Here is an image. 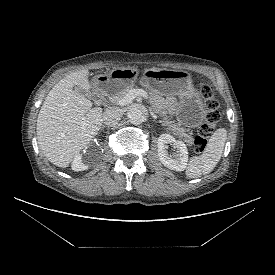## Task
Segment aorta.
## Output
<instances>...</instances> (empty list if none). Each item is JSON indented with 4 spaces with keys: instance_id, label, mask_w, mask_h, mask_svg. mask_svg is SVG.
Instances as JSON below:
<instances>
[{
    "instance_id": "1",
    "label": "aorta",
    "mask_w": 275,
    "mask_h": 275,
    "mask_svg": "<svg viewBox=\"0 0 275 275\" xmlns=\"http://www.w3.org/2000/svg\"><path fill=\"white\" fill-rule=\"evenodd\" d=\"M127 118L132 124H140L144 121V115L138 108H130L127 112Z\"/></svg>"
}]
</instances>
